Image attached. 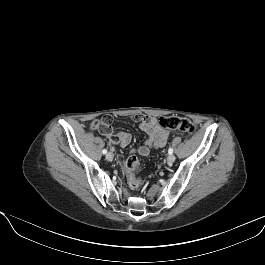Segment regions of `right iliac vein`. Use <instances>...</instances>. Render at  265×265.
<instances>
[{
  "label": "right iliac vein",
  "mask_w": 265,
  "mask_h": 265,
  "mask_svg": "<svg viewBox=\"0 0 265 265\" xmlns=\"http://www.w3.org/2000/svg\"><path fill=\"white\" fill-rule=\"evenodd\" d=\"M106 159H107V161H112L113 160V154L111 152L107 153Z\"/></svg>",
  "instance_id": "obj_1"
}]
</instances>
